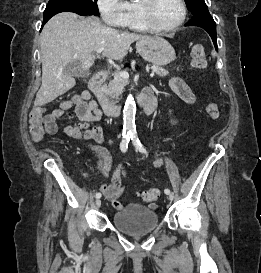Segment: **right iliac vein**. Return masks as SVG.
Listing matches in <instances>:
<instances>
[{
  "label": "right iliac vein",
  "instance_id": "obj_1",
  "mask_svg": "<svg viewBox=\"0 0 261 273\" xmlns=\"http://www.w3.org/2000/svg\"><path fill=\"white\" fill-rule=\"evenodd\" d=\"M96 206H97V207H100V206H101V199H97V200H96Z\"/></svg>",
  "mask_w": 261,
  "mask_h": 273
}]
</instances>
